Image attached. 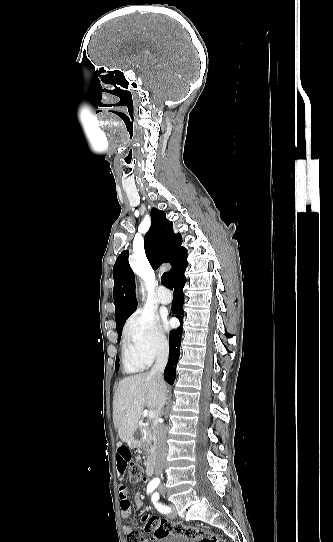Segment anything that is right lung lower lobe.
I'll return each instance as SVG.
<instances>
[{"mask_svg":"<svg viewBox=\"0 0 333 542\" xmlns=\"http://www.w3.org/2000/svg\"><path fill=\"white\" fill-rule=\"evenodd\" d=\"M187 256V250L184 248L181 252L178 253L172 264V269L170 270L172 284L174 287L172 312L179 319V321L182 320L183 315V287L186 282L184 272L186 267L188 266V262L186 261ZM181 336L182 326H179L176 330H172L169 335V360L164 371V378L166 382L171 385L174 383L176 378V365L180 354Z\"/></svg>","mask_w":333,"mask_h":542,"instance_id":"98d812e1","label":"right lung lower lobe"}]
</instances>
